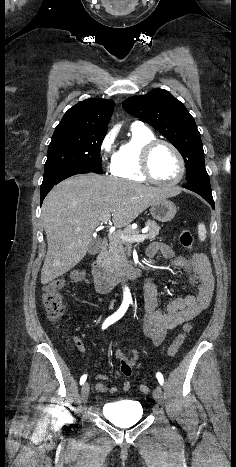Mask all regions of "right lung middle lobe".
I'll use <instances>...</instances> for the list:
<instances>
[{"label": "right lung middle lobe", "instance_id": "obj_1", "mask_svg": "<svg viewBox=\"0 0 236 467\" xmlns=\"http://www.w3.org/2000/svg\"><path fill=\"white\" fill-rule=\"evenodd\" d=\"M106 132L55 129L48 147L44 175L77 167L102 174L100 149Z\"/></svg>", "mask_w": 236, "mask_h": 467}]
</instances>
